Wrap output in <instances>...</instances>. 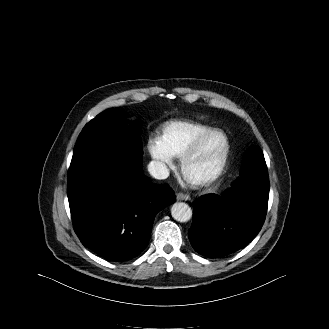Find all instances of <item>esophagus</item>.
<instances>
[{
	"instance_id": "obj_1",
	"label": "esophagus",
	"mask_w": 329,
	"mask_h": 329,
	"mask_svg": "<svg viewBox=\"0 0 329 329\" xmlns=\"http://www.w3.org/2000/svg\"><path fill=\"white\" fill-rule=\"evenodd\" d=\"M177 200H184V201H187V200H190V196L187 195V194H183V193H178L177 196H176Z\"/></svg>"
}]
</instances>
